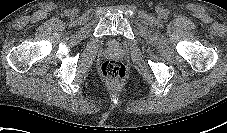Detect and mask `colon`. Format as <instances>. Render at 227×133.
<instances>
[{
    "instance_id": "1",
    "label": "colon",
    "mask_w": 227,
    "mask_h": 133,
    "mask_svg": "<svg viewBox=\"0 0 227 133\" xmlns=\"http://www.w3.org/2000/svg\"><path fill=\"white\" fill-rule=\"evenodd\" d=\"M100 73L106 80L111 82H121L127 77V68L122 62L110 59L103 62L100 67Z\"/></svg>"
}]
</instances>
